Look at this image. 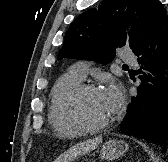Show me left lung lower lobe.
<instances>
[{"label": "left lung lower lobe", "mask_w": 168, "mask_h": 162, "mask_svg": "<svg viewBox=\"0 0 168 162\" xmlns=\"http://www.w3.org/2000/svg\"><path fill=\"white\" fill-rule=\"evenodd\" d=\"M145 72L137 96L131 99L121 123V133L161 147L168 146V15L153 27L148 38L134 51Z\"/></svg>", "instance_id": "left-lung-lower-lobe-1"}]
</instances>
